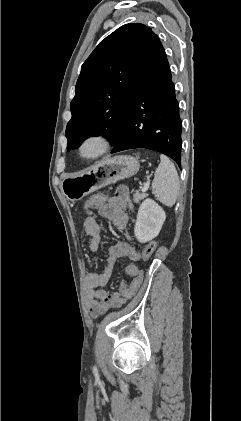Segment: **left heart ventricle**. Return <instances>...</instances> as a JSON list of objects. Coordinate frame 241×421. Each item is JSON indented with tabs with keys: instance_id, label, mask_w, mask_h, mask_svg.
<instances>
[{
	"instance_id": "obj_1",
	"label": "left heart ventricle",
	"mask_w": 241,
	"mask_h": 421,
	"mask_svg": "<svg viewBox=\"0 0 241 421\" xmlns=\"http://www.w3.org/2000/svg\"><path fill=\"white\" fill-rule=\"evenodd\" d=\"M95 150H96V145H95V144H93V143H91V144L87 145V146H86V148H85V151H86L87 153H92V152H94Z\"/></svg>"
}]
</instances>
